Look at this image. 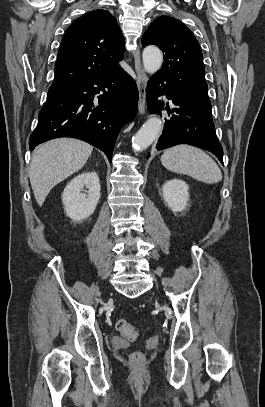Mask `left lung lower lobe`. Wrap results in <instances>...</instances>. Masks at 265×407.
Masks as SVG:
<instances>
[{
    "label": "left lung lower lobe",
    "mask_w": 265,
    "mask_h": 407,
    "mask_svg": "<svg viewBox=\"0 0 265 407\" xmlns=\"http://www.w3.org/2000/svg\"><path fill=\"white\" fill-rule=\"evenodd\" d=\"M164 81L166 80L156 73L150 78L146 88L150 113L161 115V108L164 106L158 100L161 95H166L174 106L172 110L169 105L166 107L168 113L175 114L165 118L163 134L156 148L162 150L178 144H189L212 152L223 164V148L215 133L211 111L184 97L167 81L163 84ZM159 84L162 85L159 87Z\"/></svg>",
    "instance_id": "0a47b994"
}]
</instances>
